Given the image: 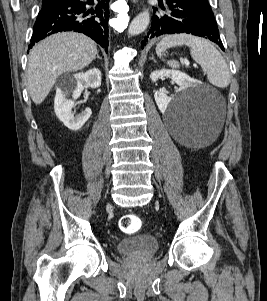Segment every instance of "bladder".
Here are the masks:
<instances>
[{"instance_id": "31cf9c89", "label": "bladder", "mask_w": 267, "mask_h": 301, "mask_svg": "<svg viewBox=\"0 0 267 301\" xmlns=\"http://www.w3.org/2000/svg\"><path fill=\"white\" fill-rule=\"evenodd\" d=\"M118 253L124 255H150L159 249V241L150 234H138L118 241L115 245Z\"/></svg>"}]
</instances>
